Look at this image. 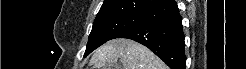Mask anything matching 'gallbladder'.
<instances>
[{"label":"gallbladder","instance_id":"obj_1","mask_svg":"<svg viewBox=\"0 0 246 69\" xmlns=\"http://www.w3.org/2000/svg\"><path fill=\"white\" fill-rule=\"evenodd\" d=\"M111 69H122L120 64H115L111 67Z\"/></svg>","mask_w":246,"mask_h":69}]
</instances>
